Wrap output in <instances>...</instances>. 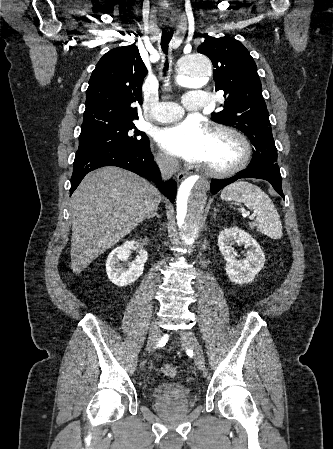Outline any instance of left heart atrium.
<instances>
[{"label": "left heart atrium", "mask_w": 333, "mask_h": 449, "mask_svg": "<svg viewBox=\"0 0 333 449\" xmlns=\"http://www.w3.org/2000/svg\"><path fill=\"white\" fill-rule=\"evenodd\" d=\"M209 135L200 122L188 119L160 130L156 139L169 154L189 162H201Z\"/></svg>", "instance_id": "obj_1"}]
</instances>
